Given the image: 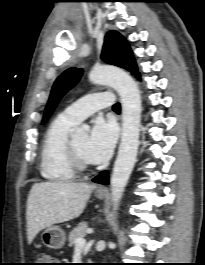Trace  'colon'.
Masks as SVG:
<instances>
[{"instance_id": "colon-1", "label": "colon", "mask_w": 205, "mask_h": 265, "mask_svg": "<svg viewBox=\"0 0 205 265\" xmlns=\"http://www.w3.org/2000/svg\"><path fill=\"white\" fill-rule=\"evenodd\" d=\"M39 260L41 262H51L53 260V258L47 254H42L39 256ZM41 265H49V264H52V263H39Z\"/></svg>"}]
</instances>
